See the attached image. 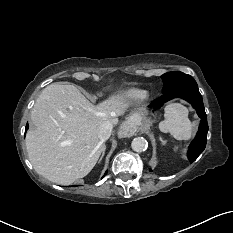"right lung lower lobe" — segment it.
<instances>
[{
  "label": "right lung lower lobe",
  "instance_id": "98d812e1",
  "mask_svg": "<svg viewBox=\"0 0 233 233\" xmlns=\"http://www.w3.org/2000/svg\"><path fill=\"white\" fill-rule=\"evenodd\" d=\"M28 129V124L26 125V130ZM107 173V172H106Z\"/></svg>",
  "mask_w": 233,
  "mask_h": 233
}]
</instances>
